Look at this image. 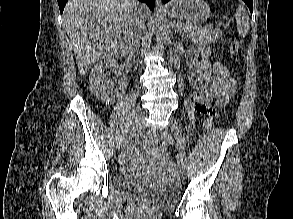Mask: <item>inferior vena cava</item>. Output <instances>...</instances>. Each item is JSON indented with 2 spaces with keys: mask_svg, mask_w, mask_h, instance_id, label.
I'll return each instance as SVG.
<instances>
[{
  "mask_svg": "<svg viewBox=\"0 0 293 219\" xmlns=\"http://www.w3.org/2000/svg\"><path fill=\"white\" fill-rule=\"evenodd\" d=\"M133 26L135 30L134 45L135 47H137V45L139 44V37L142 34L145 27L143 19L138 14L134 17Z\"/></svg>",
  "mask_w": 293,
  "mask_h": 219,
  "instance_id": "1",
  "label": "inferior vena cava"
}]
</instances>
